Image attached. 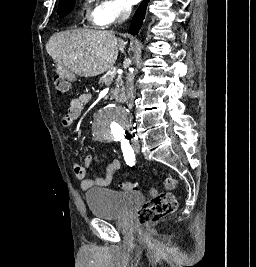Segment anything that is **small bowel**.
<instances>
[{
	"label": "small bowel",
	"mask_w": 256,
	"mask_h": 267,
	"mask_svg": "<svg viewBox=\"0 0 256 267\" xmlns=\"http://www.w3.org/2000/svg\"><path fill=\"white\" fill-rule=\"evenodd\" d=\"M91 100V94L89 92H83L79 95L78 98L72 99L66 113L61 119V124L64 127L70 126L82 113V110L86 104ZM92 157L87 154L84 157V165L75 163L73 165V173L81 180V187L83 189H90L95 186H107L112 181L115 173L120 168V161L114 159L111 163L108 164L105 173L102 177L92 179L87 177V169L91 166Z\"/></svg>",
	"instance_id": "obj_1"
}]
</instances>
